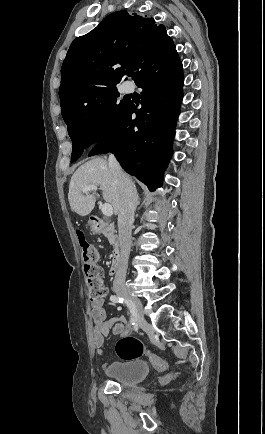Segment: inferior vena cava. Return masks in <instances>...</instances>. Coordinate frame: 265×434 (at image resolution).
<instances>
[{
    "instance_id": "inferior-vena-cava-1",
    "label": "inferior vena cava",
    "mask_w": 265,
    "mask_h": 434,
    "mask_svg": "<svg viewBox=\"0 0 265 434\" xmlns=\"http://www.w3.org/2000/svg\"><path fill=\"white\" fill-rule=\"evenodd\" d=\"M108 166L113 170L116 182L120 190V210L118 214V232H119V258L118 270L115 274V282L125 280L128 268V260L131 248V232L134 222V214L138 204L137 190L122 172L115 156L110 154Z\"/></svg>"
}]
</instances>
